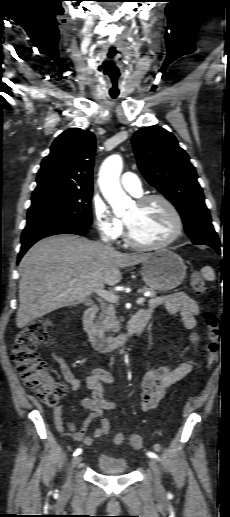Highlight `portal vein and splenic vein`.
Here are the masks:
<instances>
[{
  "label": "portal vein and splenic vein",
  "instance_id": "1",
  "mask_svg": "<svg viewBox=\"0 0 230 517\" xmlns=\"http://www.w3.org/2000/svg\"><path fill=\"white\" fill-rule=\"evenodd\" d=\"M75 282H76V279H72L70 281V284H74ZM97 294L101 298H103L106 301L111 302V303H115L118 300L117 295H115L114 293L109 292V291L99 290V291H97ZM144 302H145V298L144 297L138 298V300H137V304H139V305L143 304Z\"/></svg>",
  "mask_w": 230,
  "mask_h": 517
}]
</instances>
